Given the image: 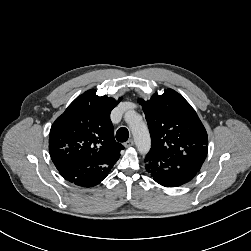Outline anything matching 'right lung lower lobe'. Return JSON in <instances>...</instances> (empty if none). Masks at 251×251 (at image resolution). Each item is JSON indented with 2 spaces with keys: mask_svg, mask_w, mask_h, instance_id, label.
Wrapping results in <instances>:
<instances>
[{
  "mask_svg": "<svg viewBox=\"0 0 251 251\" xmlns=\"http://www.w3.org/2000/svg\"><path fill=\"white\" fill-rule=\"evenodd\" d=\"M106 176L107 175L97 177L96 174H93L91 172V170L89 169V170H87V172L81 178L80 181H75V182H72V183H74L76 185L84 186V187H92V186H95V185L99 184Z\"/></svg>",
  "mask_w": 251,
  "mask_h": 251,
  "instance_id": "right-lung-lower-lobe-1",
  "label": "right lung lower lobe"
}]
</instances>
